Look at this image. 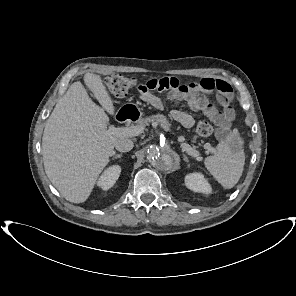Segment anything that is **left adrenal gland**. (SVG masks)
Here are the masks:
<instances>
[{
  "label": "left adrenal gland",
  "mask_w": 296,
  "mask_h": 296,
  "mask_svg": "<svg viewBox=\"0 0 296 296\" xmlns=\"http://www.w3.org/2000/svg\"><path fill=\"white\" fill-rule=\"evenodd\" d=\"M183 157H184V161H188V159H187V156H185V155H183Z\"/></svg>",
  "instance_id": "1"
}]
</instances>
